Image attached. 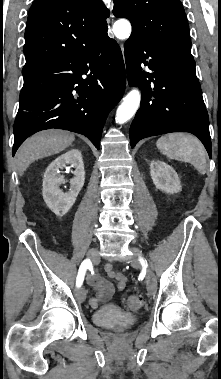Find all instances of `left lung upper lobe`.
Here are the masks:
<instances>
[{
    "mask_svg": "<svg viewBox=\"0 0 221 379\" xmlns=\"http://www.w3.org/2000/svg\"><path fill=\"white\" fill-rule=\"evenodd\" d=\"M113 14L130 20L133 34L166 52L194 60L180 0H114Z\"/></svg>",
    "mask_w": 221,
    "mask_h": 379,
    "instance_id": "5c2ea615",
    "label": "left lung upper lobe"
}]
</instances>
